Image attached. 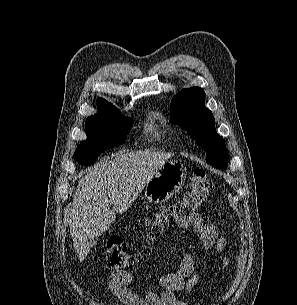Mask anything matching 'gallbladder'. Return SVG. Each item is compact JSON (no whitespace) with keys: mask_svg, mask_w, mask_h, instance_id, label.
<instances>
[{"mask_svg":"<svg viewBox=\"0 0 297 305\" xmlns=\"http://www.w3.org/2000/svg\"><path fill=\"white\" fill-rule=\"evenodd\" d=\"M97 243V238H88V245L93 248Z\"/></svg>","mask_w":297,"mask_h":305,"instance_id":"obj_1","label":"gallbladder"}]
</instances>
